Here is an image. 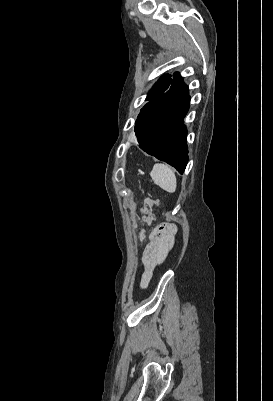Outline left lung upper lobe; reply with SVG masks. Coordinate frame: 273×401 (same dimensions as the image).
<instances>
[{
  "instance_id": "left-lung-upper-lobe-1",
  "label": "left lung upper lobe",
  "mask_w": 273,
  "mask_h": 401,
  "mask_svg": "<svg viewBox=\"0 0 273 401\" xmlns=\"http://www.w3.org/2000/svg\"><path fill=\"white\" fill-rule=\"evenodd\" d=\"M172 82L171 75L166 74L163 75L159 81L152 87L150 92L148 93L146 100H152L155 98L157 95L164 93L170 86Z\"/></svg>"
}]
</instances>
